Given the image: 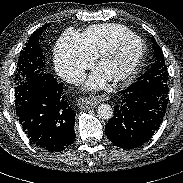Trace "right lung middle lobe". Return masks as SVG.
Here are the masks:
<instances>
[{"label": "right lung middle lobe", "instance_id": "right-lung-middle-lobe-1", "mask_svg": "<svg viewBox=\"0 0 183 183\" xmlns=\"http://www.w3.org/2000/svg\"><path fill=\"white\" fill-rule=\"evenodd\" d=\"M48 26L44 25L34 31L25 47L21 50L15 74L16 86L27 79L43 75V72L40 73V71H43L44 55L40 48L39 39Z\"/></svg>", "mask_w": 183, "mask_h": 183}]
</instances>
